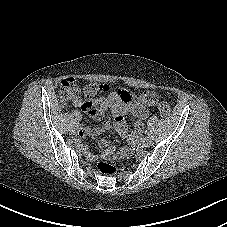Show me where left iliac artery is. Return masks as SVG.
Returning a JSON list of instances; mask_svg holds the SVG:
<instances>
[{
    "label": "left iliac artery",
    "instance_id": "left-iliac-artery-1",
    "mask_svg": "<svg viewBox=\"0 0 227 227\" xmlns=\"http://www.w3.org/2000/svg\"><path fill=\"white\" fill-rule=\"evenodd\" d=\"M147 135H150L148 131L145 132Z\"/></svg>",
    "mask_w": 227,
    "mask_h": 227
}]
</instances>
